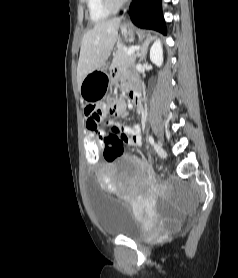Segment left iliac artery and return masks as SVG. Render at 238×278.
Here are the masks:
<instances>
[{"label": "left iliac artery", "mask_w": 238, "mask_h": 278, "mask_svg": "<svg viewBox=\"0 0 238 278\" xmlns=\"http://www.w3.org/2000/svg\"><path fill=\"white\" fill-rule=\"evenodd\" d=\"M148 139H149V143L151 145H154V138L151 135L148 137Z\"/></svg>", "instance_id": "obj_1"}]
</instances>
